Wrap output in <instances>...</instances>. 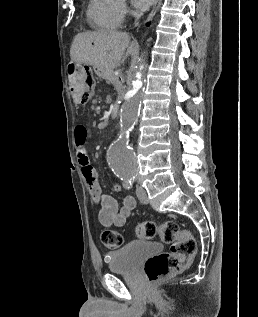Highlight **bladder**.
Segmentation results:
<instances>
[{"instance_id":"31cf9c89","label":"bladder","mask_w":258,"mask_h":317,"mask_svg":"<svg viewBox=\"0 0 258 317\" xmlns=\"http://www.w3.org/2000/svg\"><path fill=\"white\" fill-rule=\"evenodd\" d=\"M163 252L162 245L157 242L131 241L120 249L107 254L108 267L111 271L131 272L136 270L146 259Z\"/></svg>"}]
</instances>
